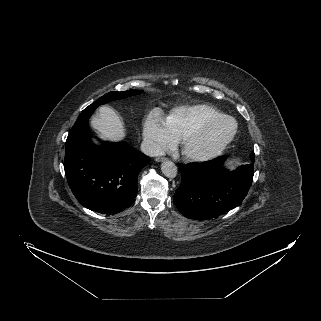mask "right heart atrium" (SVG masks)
Listing matches in <instances>:
<instances>
[{
  "label": "right heart atrium",
  "instance_id": "right-heart-atrium-1",
  "mask_svg": "<svg viewBox=\"0 0 321 321\" xmlns=\"http://www.w3.org/2000/svg\"><path fill=\"white\" fill-rule=\"evenodd\" d=\"M143 140L151 154L162 152L176 142L157 112L151 114L144 123Z\"/></svg>",
  "mask_w": 321,
  "mask_h": 321
}]
</instances>
